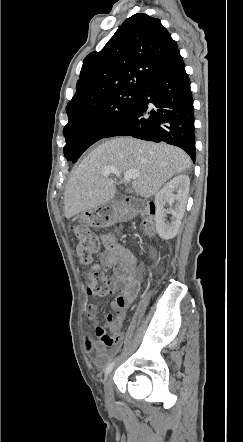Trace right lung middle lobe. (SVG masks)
I'll use <instances>...</instances> for the list:
<instances>
[{"instance_id": "1", "label": "right lung middle lobe", "mask_w": 243, "mask_h": 442, "mask_svg": "<svg viewBox=\"0 0 243 442\" xmlns=\"http://www.w3.org/2000/svg\"><path fill=\"white\" fill-rule=\"evenodd\" d=\"M140 91L121 92L99 102L97 105L72 114L64 127L66 139L64 155L76 162L82 153L104 135L124 116L137 99Z\"/></svg>"}]
</instances>
